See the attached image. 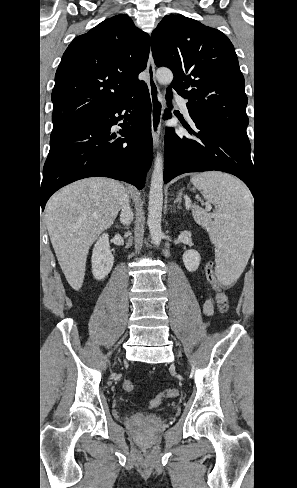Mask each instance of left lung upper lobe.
<instances>
[{
  "label": "left lung upper lobe",
  "mask_w": 297,
  "mask_h": 488,
  "mask_svg": "<svg viewBox=\"0 0 297 488\" xmlns=\"http://www.w3.org/2000/svg\"><path fill=\"white\" fill-rule=\"evenodd\" d=\"M155 64L169 67L171 88L188 99L191 118L247 136L245 80L222 32L183 15H168L151 36Z\"/></svg>",
  "instance_id": "obj_1"
}]
</instances>
